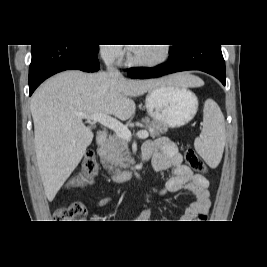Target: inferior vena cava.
Wrapping results in <instances>:
<instances>
[{"label":"inferior vena cava","mask_w":267,"mask_h":267,"mask_svg":"<svg viewBox=\"0 0 267 267\" xmlns=\"http://www.w3.org/2000/svg\"><path fill=\"white\" fill-rule=\"evenodd\" d=\"M104 61H105L106 67H107V72L111 77L122 76L120 71L117 68L113 67V63L115 61V57H114L113 53H107L104 56Z\"/></svg>","instance_id":"obj_1"}]
</instances>
